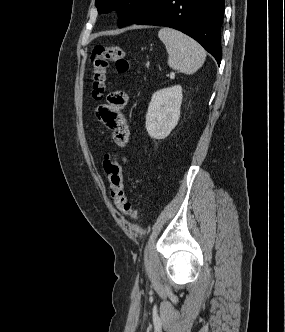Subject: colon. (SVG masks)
<instances>
[{"mask_svg": "<svg viewBox=\"0 0 285 332\" xmlns=\"http://www.w3.org/2000/svg\"><path fill=\"white\" fill-rule=\"evenodd\" d=\"M111 65H115L119 73H127L132 67L131 61L126 58L122 47L97 44L90 56V86L94 99L98 100L104 96ZM103 166L115 206L124 215L137 220L139 215L125 195L122 170L116 157L113 154H106Z\"/></svg>", "mask_w": 285, "mask_h": 332, "instance_id": "colon-1", "label": "colon"}]
</instances>
